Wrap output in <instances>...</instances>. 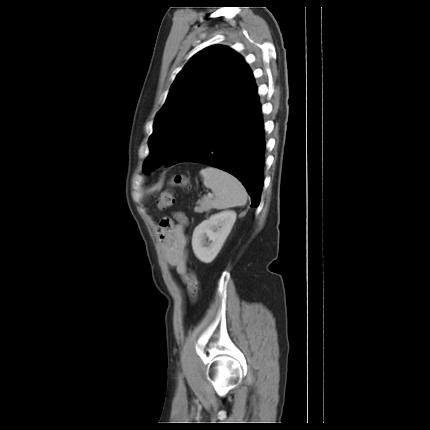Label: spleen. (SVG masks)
<instances>
[{
    "mask_svg": "<svg viewBox=\"0 0 430 430\" xmlns=\"http://www.w3.org/2000/svg\"><path fill=\"white\" fill-rule=\"evenodd\" d=\"M204 185L211 189L215 197L212 205L216 209L244 206L248 194L242 183L230 173L215 167H206L200 171Z\"/></svg>",
    "mask_w": 430,
    "mask_h": 430,
    "instance_id": "3e777b00",
    "label": "spleen"
}]
</instances>
